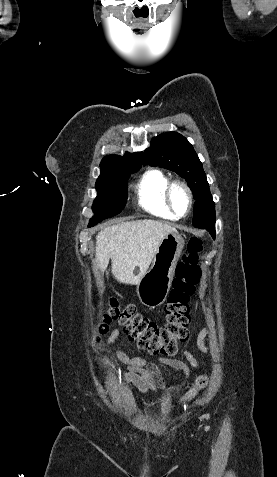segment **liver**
Wrapping results in <instances>:
<instances>
[{"label": "liver", "instance_id": "obj_1", "mask_svg": "<svg viewBox=\"0 0 277 477\" xmlns=\"http://www.w3.org/2000/svg\"><path fill=\"white\" fill-rule=\"evenodd\" d=\"M177 232L169 224L144 219L115 224L96 236V261L104 271L111 259L112 274L120 283L138 284L157 252L162 239ZM139 268L138 274H135Z\"/></svg>", "mask_w": 277, "mask_h": 477}]
</instances>
